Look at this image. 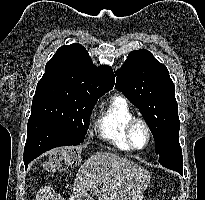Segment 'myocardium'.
I'll list each match as a JSON object with an SVG mask.
<instances>
[{"instance_id":"f54148a6","label":"myocardium","mask_w":205,"mask_h":200,"mask_svg":"<svg viewBox=\"0 0 205 200\" xmlns=\"http://www.w3.org/2000/svg\"><path fill=\"white\" fill-rule=\"evenodd\" d=\"M138 124L143 125L146 129V132H147V143L143 147H137L133 142V137H132L133 129ZM125 137H126V140L129 144V146L133 150H143V149L147 148L152 141V130H151L150 125L148 124V122L145 119L135 117L127 123V125L125 127Z\"/></svg>"}]
</instances>
